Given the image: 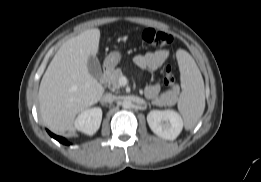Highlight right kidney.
Returning a JSON list of instances; mask_svg holds the SVG:
<instances>
[{
	"instance_id": "right-kidney-1",
	"label": "right kidney",
	"mask_w": 261,
	"mask_h": 182,
	"mask_svg": "<svg viewBox=\"0 0 261 182\" xmlns=\"http://www.w3.org/2000/svg\"><path fill=\"white\" fill-rule=\"evenodd\" d=\"M102 109L94 107L82 111L75 120V128L87 135H93L100 127Z\"/></svg>"
}]
</instances>
